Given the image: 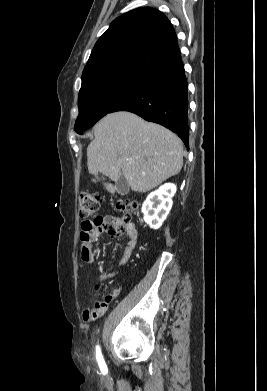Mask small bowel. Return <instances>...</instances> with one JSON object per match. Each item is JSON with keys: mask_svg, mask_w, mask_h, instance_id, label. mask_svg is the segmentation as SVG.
<instances>
[{"mask_svg": "<svg viewBox=\"0 0 267 391\" xmlns=\"http://www.w3.org/2000/svg\"><path fill=\"white\" fill-rule=\"evenodd\" d=\"M82 237L87 239L86 248L81 246V258L85 262H92L94 259L93 244L97 238L105 233L111 235H120L125 233L126 244L122 247V257L118 262V266H123L131 257L133 250L137 244L138 232L133 223H127L121 225L118 221L111 216H100L98 221H83L81 224ZM115 276V273L102 272L99 275V283L95 286V289L99 291L101 289V282L108 280ZM119 293V289L116 288L111 292L104 295L102 300L96 301L94 307L84 310L83 320L91 321L98 318L105 311L107 304L116 297Z\"/></svg>", "mask_w": 267, "mask_h": 391, "instance_id": "small-bowel-1", "label": "small bowel"}]
</instances>
